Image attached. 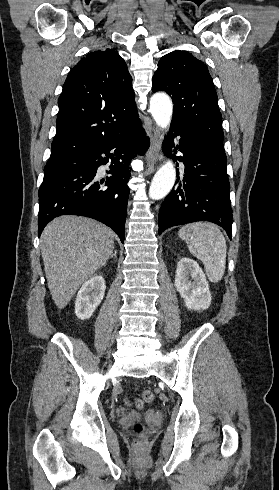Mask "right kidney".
Masks as SVG:
<instances>
[{
    "mask_svg": "<svg viewBox=\"0 0 279 490\" xmlns=\"http://www.w3.org/2000/svg\"><path fill=\"white\" fill-rule=\"evenodd\" d=\"M105 280L101 274L91 276L80 288L75 300V314L79 320H88L105 296Z\"/></svg>",
    "mask_w": 279,
    "mask_h": 490,
    "instance_id": "ca27d5eb",
    "label": "right kidney"
}]
</instances>
